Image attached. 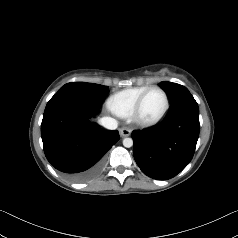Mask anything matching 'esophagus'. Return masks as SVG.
Instances as JSON below:
<instances>
[{
  "label": "esophagus",
  "mask_w": 238,
  "mask_h": 238,
  "mask_svg": "<svg viewBox=\"0 0 238 238\" xmlns=\"http://www.w3.org/2000/svg\"><path fill=\"white\" fill-rule=\"evenodd\" d=\"M121 137H128L131 134V129L123 127L119 130Z\"/></svg>",
  "instance_id": "34e87169"
}]
</instances>
